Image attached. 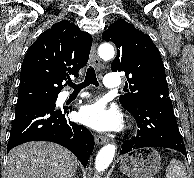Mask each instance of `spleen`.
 Listing matches in <instances>:
<instances>
[{"instance_id":"obj_1","label":"spleen","mask_w":194,"mask_h":178,"mask_svg":"<svg viewBox=\"0 0 194 178\" xmlns=\"http://www.w3.org/2000/svg\"><path fill=\"white\" fill-rule=\"evenodd\" d=\"M166 178H187L184 164L179 160L173 159L167 167Z\"/></svg>"}]
</instances>
